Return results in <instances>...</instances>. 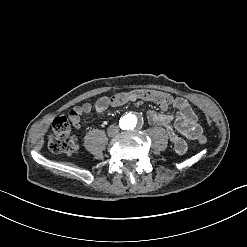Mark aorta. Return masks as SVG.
I'll list each match as a JSON object with an SVG mask.
<instances>
[{
    "label": "aorta",
    "mask_w": 247,
    "mask_h": 247,
    "mask_svg": "<svg viewBox=\"0 0 247 247\" xmlns=\"http://www.w3.org/2000/svg\"><path fill=\"white\" fill-rule=\"evenodd\" d=\"M136 122H137V120H136L135 117L127 119L124 122V127L125 128H132V127H134L136 125Z\"/></svg>",
    "instance_id": "obj_1"
}]
</instances>
